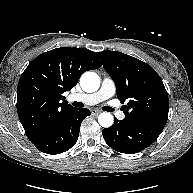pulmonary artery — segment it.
I'll return each instance as SVG.
<instances>
[{
	"label": "pulmonary artery",
	"mask_w": 193,
	"mask_h": 193,
	"mask_svg": "<svg viewBox=\"0 0 193 193\" xmlns=\"http://www.w3.org/2000/svg\"><path fill=\"white\" fill-rule=\"evenodd\" d=\"M116 91L114 81L109 77H104L100 88L93 93L73 94L69 97L71 101H80L87 105H95L104 100L111 98ZM117 118L124 119L125 115L122 111L115 110Z\"/></svg>",
	"instance_id": "1"
}]
</instances>
